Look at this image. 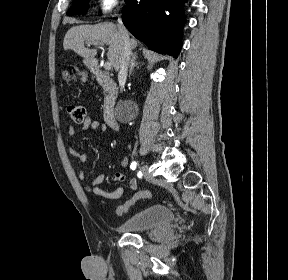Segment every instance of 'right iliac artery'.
<instances>
[{
  "mask_svg": "<svg viewBox=\"0 0 288 280\" xmlns=\"http://www.w3.org/2000/svg\"><path fill=\"white\" fill-rule=\"evenodd\" d=\"M136 166H137V163L136 162H132L130 167H131L132 170H134V168H136Z\"/></svg>",
  "mask_w": 288,
  "mask_h": 280,
  "instance_id": "right-iliac-artery-1",
  "label": "right iliac artery"
}]
</instances>
